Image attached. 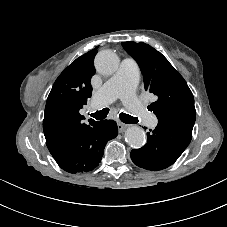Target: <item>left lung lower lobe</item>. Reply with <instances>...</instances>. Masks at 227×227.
<instances>
[{
  "label": "left lung lower lobe",
  "mask_w": 227,
  "mask_h": 227,
  "mask_svg": "<svg viewBox=\"0 0 227 227\" xmlns=\"http://www.w3.org/2000/svg\"><path fill=\"white\" fill-rule=\"evenodd\" d=\"M192 134L174 126L158 122L147 133V143L131 151L132 161L139 167L158 171L172 165L187 148Z\"/></svg>",
  "instance_id": "left-lung-lower-lobe-1"
}]
</instances>
